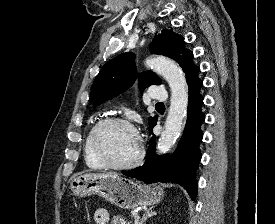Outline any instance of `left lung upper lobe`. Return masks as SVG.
I'll return each instance as SVG.
<instances>
[{
    "mask_svg": "<svg viewBox=\"0 0 275 224\" xmlns=\"http://www.w3.org/2000/svg\"><path fill=\"white\" fill-rule=\"evenodd\" d=\"M153 54L164 55L177 61L188 79L199 67L192 59L193 53L185 48L184 38L172 30L164 29L155 37L150 46ZM132 53H123L108 61L96 77L91 91V104L94 106L115 97L129 88L137 78L136 67ZM160 85L161 80L152 71H146L139 75V88L144 90L150 85ZM157 121V116L149 117L152 125Z\"/></svg>",
    "mask_w": 275,
    "mask_h": 224,
    "instance_id": "left-lung-upper-lobe-1",
    "label": "left lung upper lobe"
}]
</instances>
